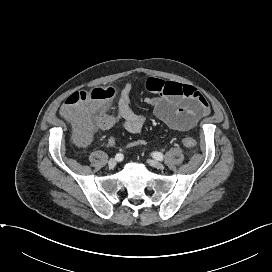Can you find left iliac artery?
I'll list each match as a JSON object with an SVG mask.
<instances>
[{"label":"left iliac artery","mask_w":272,"mask_h":272,"mask_svg":"<svg viewBox=\"0 0 272 272\" xmlns=\"http://www.w3.org/2000/svg\"><path fill=\"white\" fill-rule=\"evenodd\" d=\"M152 156H153V158H155L156 160H159V161H162L163 158H164L163 154L160 153V152H154V153L152 154Z\"/></svg>","instance_id":"obj_1"}]
</instances>
